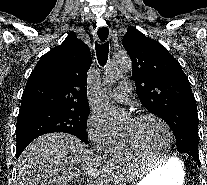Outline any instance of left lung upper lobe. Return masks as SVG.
Wrapping results in <instances>:
<instances>
[{
	"instance_id": "left-lung-upper-lobe-1",
	"label": "left lung upper lobe",
	"mask_w": 207,
	"mask_h": 185,
	"mask_svg": "<svg viewBox=\"0 0 207 185\" xmlns=\"http://www.w3.org/2000/svg\"><path fill=\"white\" fill-rule=\"evenodd\" d=\"M123 46L143 106L173 131L180 153L198 154V114L189 80L179 62L159 42L130 26Z\"/></svg>"
}]
</instances>
